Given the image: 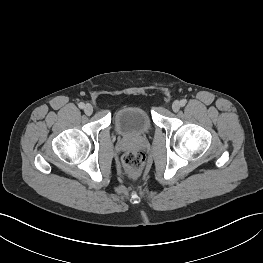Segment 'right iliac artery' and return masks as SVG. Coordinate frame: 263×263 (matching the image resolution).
<instances>
[{
	"label": "right iliac artery",
	"mask_w": 263,
	"mask_h": 263,
	"mask_svg": "<svg viewBox=\"0 0 263 263\" xmlns=\"http://www.w3.org/2000/svg\"><path fill=\"white\" fill-rule=\"evenodd\" d=\"M78 106H79V108L83 109L84 106H85V104H84L83 102H80V103L78 104Z\"/></svg>",
	"instance_id": "1"
}]
</instances>
